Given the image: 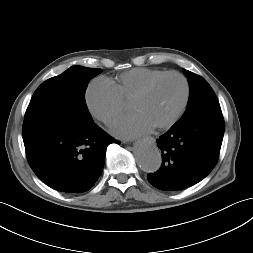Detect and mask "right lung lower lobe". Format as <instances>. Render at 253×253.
I'll use <instances>...</instances> for the list:
<instances>
[{
    "label": "right lung lower lobe",
    "mask_w": 253,
    "mask_h": 253,
    "mask_svg": "<svg viewBox=\"0 0 253 253\" xmlns=\"http://www.w3.org/2000/svg\"><path fill=\"white\" fill-rule=\"evenodd\" d=\"M118 141L90 123L53 126L24 141L34 173L66 193L88 191L100 177L107 146Z\"/></svg>",
    "instance_id": "right-lung-lower-lobe-1"
}]
</instances>
